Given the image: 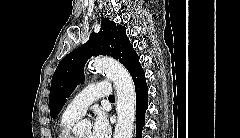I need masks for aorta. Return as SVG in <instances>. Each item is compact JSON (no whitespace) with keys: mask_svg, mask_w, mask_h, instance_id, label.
I'll use <instances>...</instances> for the list:
<instances>
[{"mask_svg":"<svg viewBox=\"0 0 240 138\" xmlns=\"http://www.w3.org/2000/svg\"><path fill=\"white\" fill-rule=\"evenodd\" d=\"M89 70L102 71L114 83L117 96V123L114 138H132L136 112V92L134 82L127 69L111 58H96L88 64ZM89 127V122L81 121L76 132Z\"/></svg>","mask_w":240,"mask_h":138,"instance_id":"aorta-1","label":"aorta"}]
</instances>
